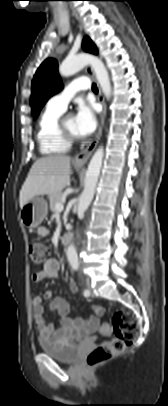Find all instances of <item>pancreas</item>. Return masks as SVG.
Segmentation results:
<instances>
[{"label":"pancreas","instance_id":"1","mask_svg":"<svg viewBox=\"0 0 168 406\" xmlns=\"http://www.w3.org/2000/svg\"><path fill=\"white\" fill-rule=\"evenodd\" d=\"M49 200H50V209L52 212H54L56 210L55 209L56 203H62V201L64 200L63 193L59 192L53 196H50Z\"/></svg>","mask_w":168,"mask_h":406}]
</instances>
